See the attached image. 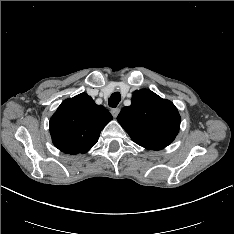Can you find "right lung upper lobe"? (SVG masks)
<instances>
[{"mask_svg":"<svg viewBox=\"0 0 234 234\" xmlns=\"http://www.w3.org/2000/svg\"><path fill=\"white\" fill-rule=\"evenodd\" d=\"M112 119L102 105L86 93L66 99L50 119L54 145L64 153H86L98 141L100 132Z\"/></svg>","mask_w":234,"mask_h":234,"instance_id":"right-lung-upper-lobe-1","label":"right lung upper lobe"}]
</instances>
